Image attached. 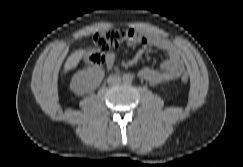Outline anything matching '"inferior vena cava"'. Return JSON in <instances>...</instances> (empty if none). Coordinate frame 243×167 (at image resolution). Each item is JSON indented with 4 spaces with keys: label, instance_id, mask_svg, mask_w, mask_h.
Returning <instances> with one entry per match:
<instances>
[{
    "label": "inferior vena cava",
    "instance_id": "602c4592",
    "mask_svg": "<svg viewBox=\"0 0 243 167\" xmlns=\"http://www.w3.org/2000/svg\"><path fill=\"white\" fill-rule=\"evenodd\" d=\"M107 82L109 85H115L121 82V78L117 75H111L108 77Z\"/></svg>",
    "mask_w": 243,
    "mask_h": 167
}]
</instances>
